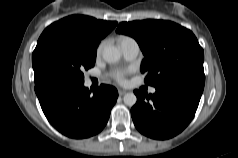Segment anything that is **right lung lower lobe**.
Here are the masks:
<instances>
[{"instance_id":"98d812e1","label":"right lung lower lobe","mask_w":238,"mask_h":158,"mask_svg":"<svg viewBox=\"0 0 238 158\" xmlns=\"http://www.w3.org/2000/svg\"><path fill=\"white\" fill-rule=\"evenodd\" d=\"M35 92L48 121L62 134L86 138L106 125L117 101V90L101 85L95 91L53 72L34 75Z\"/></svg>"}]
</instances>
